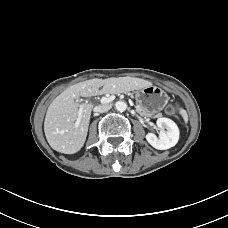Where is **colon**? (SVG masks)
<instances>
[{
	"mask_svg": "<svg viewBox=\"0 0 228 228\" xmlns=\"http://www.w3.org/2000/svg\"><path fill=\"white\" fill-rule=\"evenodd\" d=\"M167 112L169 114H175L177 112V104L175 103H170L168 106H167Z\"/></svg>",
	"mask_w": 228,
	"mask_h": 228,
	"instance_id": "obj_1",
	"label": "colon"
}]
</instances>
